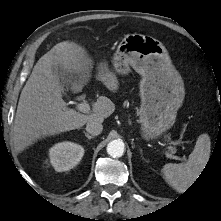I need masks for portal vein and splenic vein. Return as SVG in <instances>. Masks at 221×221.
<instances>
[{
    "label": "portal vein and splenic vein",
    "mask_w": 221,
    "mask_h": 221,
    "mask_svg": "<svg viewBox=\"0 0 221 221\" xmlns=\"http://www.w3.org/2000/svg\"><path fill=\"white\" fill-rule=\"evenodd\" d=\"M77 109L83 113L89 114L91 112L90 106L87 103V101H83L82 103L77 105ZM164 154L166 155L167 158L170 159H175V160H180L181 158L178 156H174L172 154H169L167 151L163 150Z\"/></svg>",
    "instance_id": "portal-vein-and-splenic-vein-1"
}]
</instances>
